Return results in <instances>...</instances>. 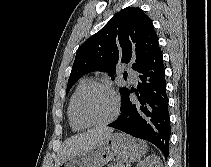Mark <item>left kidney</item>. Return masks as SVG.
Wrapping results in <instances>:
<instances>
[{
  "label": "left kidney",
  "mask_w": 211,
  "mask_h": 167,
  "mask_svg": "<svg viewBox=\"0 0 211 167\" xmlns=\"http://www.w3.org/2000/svg\"><path fill=\"white\" fill-rule=\"evenodd\" d=\"M137 167H162V163L159 157L152 155L141 161Z\"/></svg>",
  "instance_id": "1"
}]
</instances>
